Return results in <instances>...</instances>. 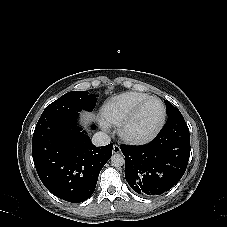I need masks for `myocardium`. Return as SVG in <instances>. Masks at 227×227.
Instances as JSON below:
<instances>
[{
  "label": "myocardium",
  "instance_id": "obj_1",
  "mask_svg": "<svg viewBox=\"0 0 227 227\" xmlns=\"http://www.w3.org/2000/svg\"><path fill=\"white\" fill-rule=\"evenodd\" d=\"M151 101H157L160 103L162 107L161 119L147 133H144V134L133 133L132 128L134 123L138 119L139 115L141 114L145 106ZM166 118H167V109H166L165 103L157 97H149L148 99L143 101L124 121L120 123L119 134L124 141L130 144L141 145V144L148 143L149 141L154 139L157 136V134L161 131V129L163 128L166 122Z\"/></svg>",
  "mask_w": 227,
  "mask_h": 227
}]
</instances>
